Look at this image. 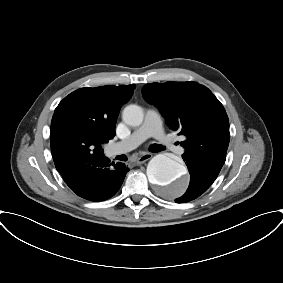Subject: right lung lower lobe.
Segmentation results:
<instances>
[{
  "label": "right lung lower lobe",
  "mask_w": 283,
  "mask_h": 283,
  "mask_svg": "<svg viewBox=\"0 0 283 283\" xmlns=\"http://www.w3.org/2000/svg\"><path fill=\"white\" fill-rule=\"evenodd\" d=\"M128 171L124 163H110L102 154L72 166L61 175L78 196L91 201H104L117 193Z\"/></svg>",
  "instance_id": "obj_1"
}]
</instances>
